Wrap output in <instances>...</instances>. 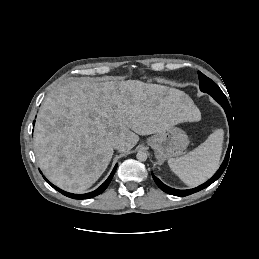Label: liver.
Instances as JSON below:
<instances>
[{"instance_id": "6515ba94", "label": "liver", "mask_w": 259, "mask_h": 259, "mask_svg": "<svg viewBox=\"0 0 259 259\" xmlns=\"http://www.w3.org/2000/svg\"><path fill=\"white\" fill-rule=\"evenodd\" d=\"M201 114L183 92L139 80L72 78L52 91L39 111L34 135L38 163L59 188L82 193L107 169L116 139L128 152L138 135L161 132Z\"/></svg>"}]
</instances>
